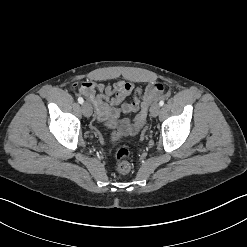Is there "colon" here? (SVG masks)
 <instances>
[{
  "label": "colon",
  "instance_id": "obj_1",
  "mask_svg": "<svg viewBox=\"0 0 247 247\" xmlns=\"http://www.w3.org/2000/svg\"><path fill=\"white\" fill-rule=\"evenodd\" d=\"M116 169L119 173H128L131 169L130 149L125 144H119L115 151Z\"/></svg>",
  "mask_w": 247,
  "mask_h": 247
}]
</instances>
